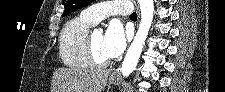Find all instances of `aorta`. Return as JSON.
Masks as SVG:
<instances>
[{"mask_svg": "<svg viewBox=\"0 0 225 92\" xmlns=\"http://www.w3.org/2000/svg\"><path fill=\"white\" fill-rule=\"evenodd\" d=\"M139 4L141 9V21L135 38L128 48L122 63L121 72L124 77H128L135 70L153 20V0H139Z\"/></svg>", "mask_w": 225, "mask_h": 92, "instance_id": "1", "label": "aorta"}]
</instances>
